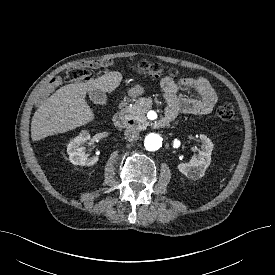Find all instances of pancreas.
<instances>
[{
	"label": "pancreas",
	"mask_w": 275,
	"mask_h": 275,
	"mask_svg": "<svg viewBox=\"0 0 275 275\" xmlns=\"http://www.w3.org/2000/svg\"><path fill=\"white\" fill-rule=\"evenodd\" d=\"M153 101L150 97L140 98L133 105L129 106L125 114L128 118H133L142 126L148 125L146 113L151 110Z\"/></svg>",
	"instance_id": "obj_1"
}]
</instances>
